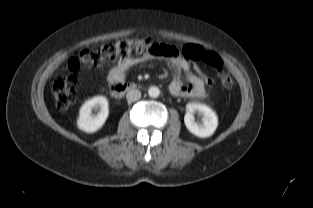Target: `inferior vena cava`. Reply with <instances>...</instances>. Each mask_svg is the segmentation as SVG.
I'll return each mask as SVG.
<instances>
[{"mask_svg": "<svg viewBox=\"0 0 313 208\" xmlns=\"http://www.w3.org/2000/svg\"><path fill=\"white\" fill-rule=\"evenodd\" d=\"M141 97V92L137 89H132L127 92L126 99L129 102H134L139 100Z\"/></svg>", "mask_w": 313, "mask_h": 208, "instance_id": "602c4592", "label": "inferior vena cava"}]
</instances>
